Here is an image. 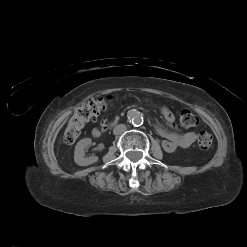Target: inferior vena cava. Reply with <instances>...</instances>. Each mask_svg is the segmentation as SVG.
Instances as JSON below:
<instances>
[{
    "label": "inferior vena cava",
    "instance_id": "602c4592",
    "mask_svg": "<svg viewBox=\"0 0 247 247\" xmlns=\"http://www.w3.org/2000/svg\"><path fill=\"white\" fill-rule=\"evenodd\" d=\"M126 126L124 125V124H119V125H117V126H115L114 127V129H113V134L114 135H120V134H122L123 132H125L126 131Z\"/></svg>",
    "mask_w": 247,
    "mask_h": 247
}]
</instances>
